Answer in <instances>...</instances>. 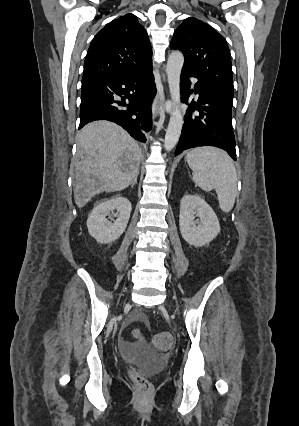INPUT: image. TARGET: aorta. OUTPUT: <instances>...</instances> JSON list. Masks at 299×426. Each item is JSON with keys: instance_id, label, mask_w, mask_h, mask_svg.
I'll use <instances>...</instances> for the list:
<instances>
[{"instance_id": "obj_1", "label": "aorta", "mask_w": 299, "mask_h": 426, "mask_svg": "<svg viewBox=\"0 0 299 426\" xmlns=\"http://www.w3.org/2000/svg\"><path fill=\"white\" fill-rule=\"evenodd\" d=\"M183 64L184 56L180 51H173L169 55L166 73L174 108L170 116L164 140V148L168 152L178 143L184 123L183 115L180 110V74Z\"/></svg>"}]
</instances>
